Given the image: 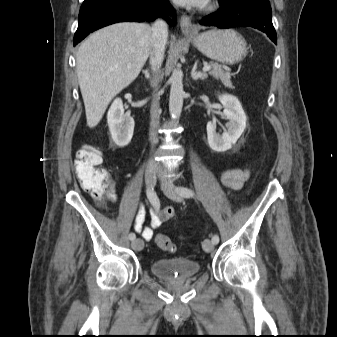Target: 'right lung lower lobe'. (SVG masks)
Returning <instances> with one entry per match:
<instances>
[{
	"instance_id": "1",
	"label": "right lung lower lobe",
	"mask_w": 337,
	"mask_h": 337,
	"mask_svg": "<svg viewBox=\"0 0 337 337\" xmlns=\"http://www.w3.org/2000/svg\"><path fill=\"white\" fill-rule=\"evenodd\" d=\"M167 12L173 13L168 0H84L74 45L89 33L117 22L152 21ZM168 23L174 21L165 16Z\"/></svg>"
}]
</instances>
